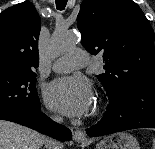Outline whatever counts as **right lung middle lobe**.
Returning a JSON list of instances; mask_svg holds the SVG:
<instances>
[{
	"label": "right lung middle lobe",
	"instance_id": "1",
	"mask_svg": "<svg viewBox=\"0 0 155 149\" xmlns=\"http://www.w3.org/2000/svg\"><path fill=\"white\" fill-rule=\"evenodd\" d=\"M39 106L35 71L0 69V114L26 118Z\"/></svg>",
	"mask_w": 155,
	"mask_h": 149
}]
</instances>
